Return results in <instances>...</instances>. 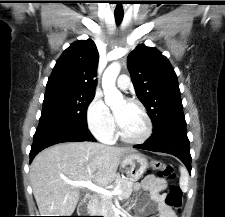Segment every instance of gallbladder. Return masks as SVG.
<instances>
[{
    "instance_id": "obj_1",
    "label": "gallbladder",
    "mask_w": 225,
    "mask_h": 217,
    "mask_svg": "<svg viewBox=\"0 0 225 217\" xmlns=\"http://www.w3.org/2000/svg\"><path fill=\"white\" fill-rule=\"evenodd\" d=\"M84 197V193H81L80 194V198L82 199Z\"/></svg>"
}]
</instances>
